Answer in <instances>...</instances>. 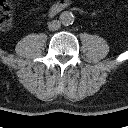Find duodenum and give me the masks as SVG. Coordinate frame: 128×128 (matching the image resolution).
I'll list each match as a JSON object with an SVG mask.
<instances>
[{
	"label": "duodenum",
	"mask_w": 128,
	"mask_h": 128,
	"mask_svg": "<svg viewBox=\"0 0 128 128\" xmlns=\"http://www.w3.org/2000/svg\"><path fill=\"white\" fill-rule=\"evenodd\" d=\"M67 7V1H59L56 4H54L50 10V13L52 15L62 11L63 9H65Z\"/></svg>",
	"instance_id": "410a0bca"
}]
</instances>
